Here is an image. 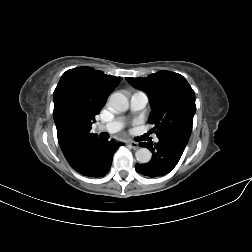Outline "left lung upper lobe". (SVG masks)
Returning <instances> with one entry per match:
<instances>
[{"label": "left lung upper lobe", "mask_w": 252, "mask_h": 252, "mask_svg": "<svg viewBox=\"0 0 252 252\" xmlns=\"http://www.w3.org/2000/svg\"><path fill=\"white\" fill-rule=\"evenodd\" d=\"M126 80L148 94L152 107L148 121L155 125L153 131L157 130V137L189 140L196 111L195 93L182 75L160 71L147 78L126 77Z\"/></svg>", "instance_id": "obj_1"}]
</instances>
